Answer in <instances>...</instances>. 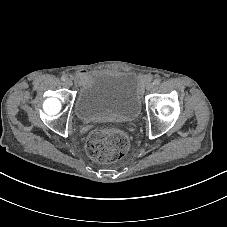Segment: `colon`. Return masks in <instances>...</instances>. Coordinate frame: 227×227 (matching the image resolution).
Instances as JSON below:
<instances>
[{"mask_svg":"<svg viewBox=\"0 0 227 227\" xmlns=\"http://www.w3.org/2000/svg\"><path fill=\"white\" fill-rule=\"evenodd\" d=\"M128 146V136L122 130L102 126L90 132L86 148L93 160L101 163H112L125 155Z\"/></svg>","mask_w":227,"mask_h":227,"instance_id":"colon-1","label":"colon"}]
</instances>
